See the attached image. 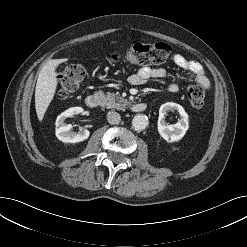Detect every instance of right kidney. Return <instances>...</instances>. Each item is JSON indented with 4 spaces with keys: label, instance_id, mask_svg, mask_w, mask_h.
<instances>
[{
    "label": "right kidney",
    "instance_id": "ca27d5eb",
    "mask_svg": "<svg viewBox=\"0 0 247 247\" xmlns=\"http://www.w3.org/2000/svg\"><path fill=\"white\" fill-rule=\"evenodd\" d=\"M83 112L81 107H71L61 113L56 119V137L62 142L77 143L86 140L90 132L87 129H82L79 132H72L71 124H66L65 120L68 117H73Z\"/></svg>",
    "mask_w": 247,
    "mask_h": 247
}]
</instances>
